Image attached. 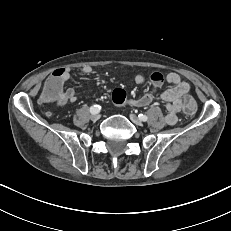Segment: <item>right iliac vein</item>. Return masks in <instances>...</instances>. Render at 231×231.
<instances>
[{
    "instance_id": "63e3f726",
    "label": "right iliac vein",
    "mask_w": 231,
    "mask_h": 231,
    "mask_svg": "<svg viewBox=\"0 0 231 231\" xmlns=\"http://www.w3.org/2000/svg\"><path fill=\"white\" fill-rule=\"evenodd\" d=\"M90 118H91V120L92 121H97V120H99L100 119V114H92L91 116H90Z\"/></svg>"
}]
</instances>
